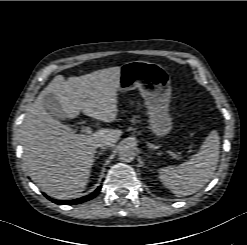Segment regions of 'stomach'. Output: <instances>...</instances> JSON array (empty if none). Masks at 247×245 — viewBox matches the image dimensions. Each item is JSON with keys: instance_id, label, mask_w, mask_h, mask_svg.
I'll use <instances>...</instances> for the list:
<instances>
[{"instance_id": "obj_1", "label": "stomach", "mask_w": 247, "mask_h": 245, "mask_svg": "<svg viewBox=\"0 0 247 245\" xmlns=\"http://www.w3.org/2000/svg\"><path fill=\"white\" fill-rule=\"evenodd\" d=\"M138 88L147 106L149 128L157 138H163L172 129L169 114L171 79L159 64L131 61L120 67L119 90L126 92Z\"/></svg>"}]
</instances>
